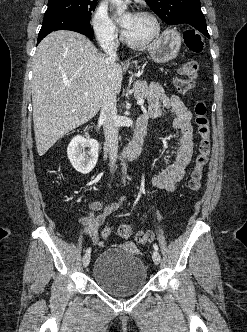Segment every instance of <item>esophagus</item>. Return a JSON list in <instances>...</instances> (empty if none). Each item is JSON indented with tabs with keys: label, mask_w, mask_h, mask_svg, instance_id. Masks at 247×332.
I'll use <instances>...</instances> for the list:
<instances>
[{
	"label": "esophagus",
	"mask_w": 247,
	"mask_h": 332,
	"mask_svg": "<svg viewBox=\"0 0 247 332\" xmlns=\"http://www.w3.org/2000/svg\"><path fill=\"white\" fill-rule=\"evenodd\" d=\"M125 64H126V65H127V64H129V62H128V61H126V62H125Z\"/></svg>",
	"instance_id": "obj_1"
}]
</instances>
